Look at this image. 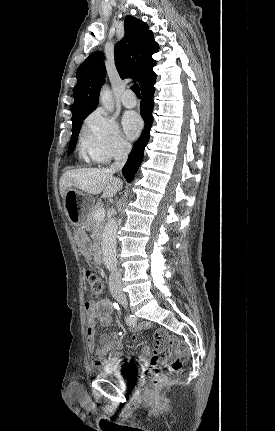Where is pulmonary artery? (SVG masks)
<instances>
[{
  "label": "pulmonary artery",
  "instance_id": "e3ab8cb5",
  "mask_svg": "<svg viewBox=\"0 0 275 431\" xmlns=\"http://www.w3.org/2000/svg\"><path fill=\"white\" fill-rule=\"evenodd\" d=\"M122 104L127 108L135 107L137 104V99L131 90H126L121 98Z\"/></svg>",
  "mask_w": 275,
  "mask_h": 431
}]
</instances>
